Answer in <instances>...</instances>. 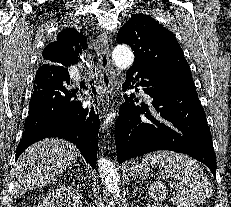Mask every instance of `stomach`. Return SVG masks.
<instances>
[{"label":"stomach","mask_w":231,"mask_h":207,"mask_svg":"<svg viewBox=\"0 0 231 207\" xmlns=\"http://www.w3.org/2000/svg\"><path fill=\"white\" fill-rule=\"evenodd\" d=\"M128 170H129V174L132 177L145 178L146 176H148L150 172V167L148 166V163L144 161L143 162L133 161L130 163Z\"/></svg>","instance_id":"obj_1"}]
</instances>
